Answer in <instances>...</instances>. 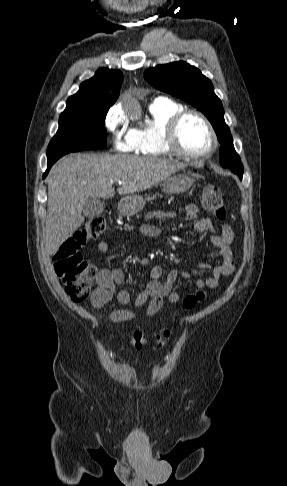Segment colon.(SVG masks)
Listing matches in <instances>:
<instances>
[{"label":"colon","mask_w":287,"mask_h":486,"mask_svg":"<svg viewBox=\"0 0 287 486\" xmlns=\"http://www.w3.org/2000/svg\"><path fill=\"white\" fill-rule=\"evenodd\" d=\"M202 204L204 208L216 219L223 220L226 217V208L220 188L213 184H205L202 191ZM106 229V221L101 216L90 218L82 229L67 239L54 256V271L63 282L69 297L75 302L86 300L93 285L96 282L97 270L82 256L80 249L90 240L100 237ZM204 298V293L199 291L188 295L183 306L191 309ZM171 336L169 329L161 331L155 338L159 346L166 345ZM148 343L146 335L136 331L132 335L131 344L136 349H142Z\"/></svg>","instance_id":"colon-1"}]
</instances>
